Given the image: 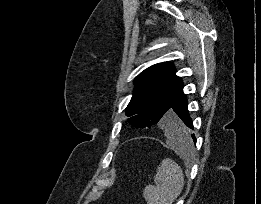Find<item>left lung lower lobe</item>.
<instances>
[{
  "instance_id": "obj_1",
  "label": "left lung lower lobe",
  "mask_w": 261,
  "mask_h": 204,
  "mask_svg": "<svg viewBox=\"0 0 261 204\" xmlns=\"http://www.w3.org/2000/svg\"><path fill=\"white\" fill-rule=\"evenodd\" d=\"M161 127L176 141L187 142L188 139H193L194 143H196L194 134L190 135V129H193V121L187 109V99L183 93V86L177 94L168 116Z\"/></svg>"
}]
</instances>
